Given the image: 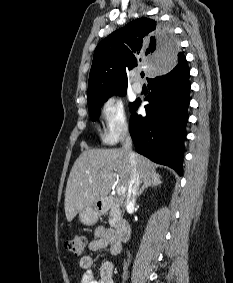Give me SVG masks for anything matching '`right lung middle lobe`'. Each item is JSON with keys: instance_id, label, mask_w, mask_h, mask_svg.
<instances>
[{"instance_id": "dd1d6c3e", "label": "right lung middle lobe", "mask_w": 233, "mask_h": 283, "mask_svg": "<svg viewBox=\"0 0 233 283\" xmlns=\"http://www.w3.org/2000/svg\"><path fill=\"white\" fill-rule=\"evenodd\" d=\"M124 94H125V91L117 93V95H124ZM105 101L98 103V104H95V105H92V106H89V113H90V117H91L92 121H95V120L98 119L100 109H101V107H102V105ZM133 104L134 103L130 104V108L133 106Z\"/></svg>"}]
</instances>
